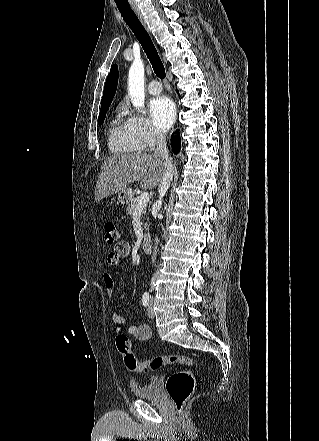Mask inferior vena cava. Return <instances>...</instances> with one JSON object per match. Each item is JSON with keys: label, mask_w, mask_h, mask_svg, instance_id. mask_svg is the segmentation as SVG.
Segmentation results:
<instances>
[{"label": "inferior vena cava", "mask_w": 319, "mask_h": 441, "mask_svg": "<svg viewBox=\"0 0 319 441\" xmlns=\"http://www.w3.org/2000/svg\"><path fill=\"white\" fill-rule=\"evenodd\" d=\"M156 149L154 151V156L156 158H161L162 160H164L165 162V173L162 176V180L160 182L159 185V200L157 201L158 205H162V198L165 196L170 183L172 181L173 178V166H172V158L169 155V151L167 148V143H166V134L162 133V132H157L156 134ZM155 244H154V250H153V255H152V263L155 262L156 260V255H157V248H158V244H159V239L156 236L155 237ZM150 292H152V289H150Z\"/></svg>", "instance_id": "1"}]
</instances>
